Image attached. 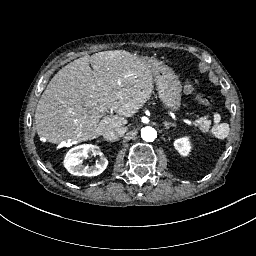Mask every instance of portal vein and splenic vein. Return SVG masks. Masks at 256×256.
I'll return each mask as SVG.
<instances>
[{
    "label": "portal vein and splenic vein",
    "mask_w": 256,
    "mask_h": 256,
    "mask_svg": "<svg viewBox=\"0 0 256 256\" xmlns=\"http://www.w3.org/2000/svg\"><path fill=\"white\" fill-rule=\"evenodd\" d=\"M183 124L184 125H188L189 127H192L193 126V123L191 121H188L187 119H184L183 120Z\"/></svg>",
    "instance_id": "obj_1"
}]
</instances>
